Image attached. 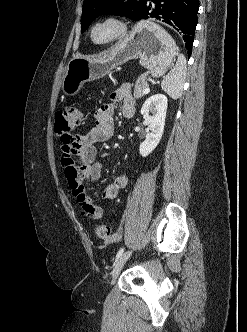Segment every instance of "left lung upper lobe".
Instances as JSON below:
<instances>
[{
  "label": "left lung upper lobe",
  "mask_w": 247,
  "mask_h": 332,
  "mask_svg": "<svg viewBox=\"0 0 247 332\" xmlns=\"http://www.w3.org/2000/svg\"><path fill=\"white\" fill-rule=\"evenodd\" d=\"M147 0H84L81 17V32L102 14L124 15L134 21L140 20V14Z\"/></svg>",
  "instance_id": "left-lung-upper-lobe-1"
}]
</instances>
